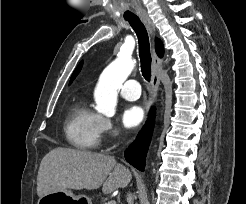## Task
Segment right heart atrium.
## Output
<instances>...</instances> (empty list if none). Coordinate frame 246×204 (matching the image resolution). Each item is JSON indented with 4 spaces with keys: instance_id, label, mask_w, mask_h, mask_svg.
I'll return each instance as SVG.
<instances>
[{
    "instance_id": "d8ad5b80",
    "label": "right heart atrium",
    "mask_w": 246,
    "mask_h": 204,
    "mask_svg": "<svg viewBox=\"0 0 246 204\" xmlns=\"http://www.w3.org/2000/svg\"><path fill=\"white\" fill-rule=\"evenodd\" d=\"M102 129L103 133H106L111 136H115L117 133V130L115 129L113 123L108 119H103Z\"/></svg>"
}]
</instances>
